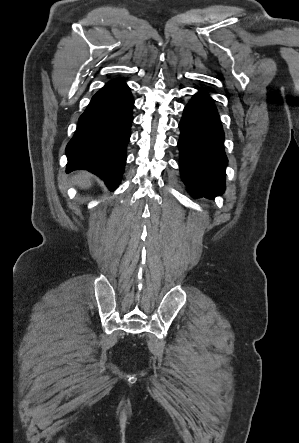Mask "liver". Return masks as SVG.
<instances>
[{"label": "liver", "mask_w": 299, "mask_h": 443, "mask_svg": "<svg viewBox=\"0 0 299 443\" xmlns=\"http://www.w3.org/2000/svg\"><path fill=\"white\" fill-rule=\"evenodd\" d=\"M91 178H92V175L89 172L80 171L72 177V180L75 185H77L80 188L85 189V188H88L91 186V184H92Z\"/></svg>", "instance_id": "liver-1"}]
</instances>
